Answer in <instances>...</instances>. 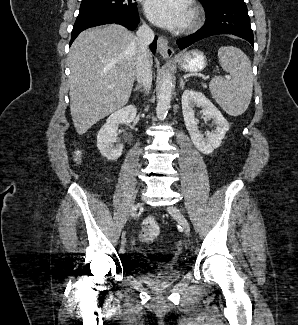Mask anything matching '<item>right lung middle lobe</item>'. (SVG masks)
<instances>
[{
    "label": "right lung middle lobe",
    "instance_id": "dd1d6c3e",
    "mask_svg": "<svg viewBox=\"0 0 298 325\" xmlns=\"http://www.w3.org/2000/svg\"><path fill=\"white\" fill-rule=\"evenodd\" d=\"M111 10L135 11L137 4L132 0H82L79 15Z\"/></svg>",
    "mask_w": 298,
    "mask_h": 325
}]
</instances>
